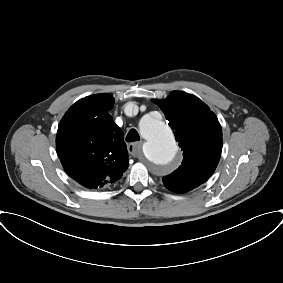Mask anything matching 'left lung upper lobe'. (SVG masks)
<instances>
[{"label": "left lung upper lobe", "mask_w": 283, "mask_h": 283, "mask_svg": "<svg viewBox=\"0 0 283 283\" xmlns=\"http://www.w3.org/2000/svg\"><path fill=\"white\" fill-rule=\"evenodd\" d=\"M164 112L183 151L177 170L163 177L166 188L185 193L204 183L215 171L222 151V130L217 117L199 98L173 91L154 100Z\"/></svg>", "instance_id": "left-lung-upper-lobe-1"}]
</instances>
